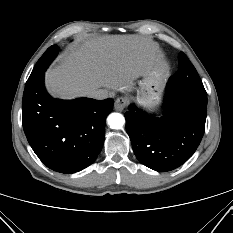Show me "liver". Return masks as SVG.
Here are the masks:
<instances>
[{
	"label": "liver",
	"instance_id": "liver-1",
	"mask_svg": "<svg viewBox=\"0 0 233 233\" xmlns=\"http://www.w3.org/2000/svg\"><path fill=\"white\" fill-rule=\"evenodd\" d=\"M158 46L141 35L96 36L75 44L47 70L45 84L55 97L91 96L98 88L129 90L158 61Z\"/></svg>",
	"mask_w": 233,
	"mask_h": 233
}]
</instances>
